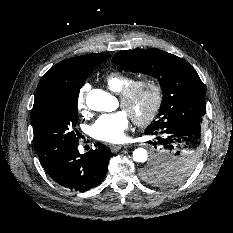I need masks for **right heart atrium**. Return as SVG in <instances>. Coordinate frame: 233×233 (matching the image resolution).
I'll return each instance as SVG.
<instances>
[{"label":"right heart atrium","mask_w":233,"mask_h":233,"mask_svg":"<svg viewBox=\"0 0 233 233\" xmlns=\"http://www.w3.org/2000/svg\"><path fill=\"white\" fill-rule=\"evenodd\" d=\"M90 85L88 83H84L76 97V108L80 113H86L87 105H86V96L89 91Z\"/></svg>","instance_id":"right-heart-atrium-1"}]
</instances>
